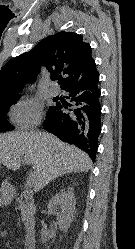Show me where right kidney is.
Segmentation results:
<instances>
[{"mask_svg": "<svg viewBox=\"0 0 135 249\" xmlns=\"http://www.w3.org/2000/svg\"><path fill=\"white\" fill-rule=\"evenodd\" d=\"M76 199L74 193L71 190L61 191L56 194L48 203V210L57 215V221L59 229L63 232H67L70 224L75 215ZM60 206V212H57ZM42 241L46 242L47 239L55 237L54 233H50L47 230L41 231Z\"/></svg>", "mask_w": 135, "mask_h": 249, "instance_id": "1", "label": "right kidney"}]
</instances>
